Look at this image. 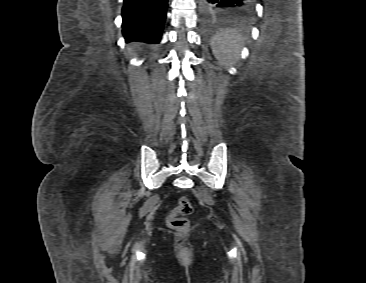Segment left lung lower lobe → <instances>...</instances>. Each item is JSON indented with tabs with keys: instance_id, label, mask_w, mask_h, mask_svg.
Returning a JSON list of instances; mask_svg holds the SVG:
<instances>
[{
	"instance_id": "obj_1",
	"label": "left lung lower lobe",
	"mask_w": 366,
	"mask_h": 283,
	"mask_svg": "<svg viewBox=\"0 0 366 283\" xmlns=\"http://www.w3.org/2000/svg\"><path fill=\"white\" fill-rule=\"evenodd\" d=\"M256 0H199L202 11L209 16L230 15L252 9Z\"/></svg>"
}]
</instances>
